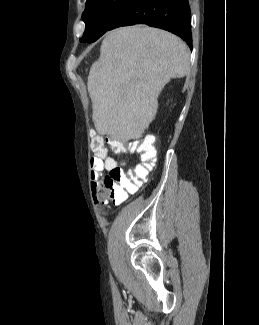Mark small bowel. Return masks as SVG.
Wrapping results in <instances>:
<instances>
[{
	"instance_id": "1",
	"label": "small bowel",
	"mask_w": 259,
	"mask_h": 325,
	"mask_svg": "<svg viewBox=\"0 0 259 325\" xmlns=\"http://www.w3.org/2000/svg\"><path fill=\"white\" fill-rule=\"evenodd\" d=\"M91 189L95 198L96 203L99 206H104L107 202L102 199L99 195L100 192V178L103 175L104 170H110L112 167L116 166V162L114 159L110 157H105L104 159H99L96 156L91 160Z\"/></svg>"
}]
</instances>
